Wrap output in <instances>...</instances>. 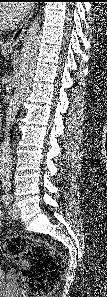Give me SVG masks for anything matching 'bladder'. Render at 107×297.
<instances>
[{
  "mask_svg": "<svg viewBox=\"0 0 107 297\" xmlns=\"http://www.w3.org/2000/svg\"><path fill=\"white\" fill-rule=\"evenodd\" d=\"M0 277H1V280H3V279H4V273H3V271H2V270L0 271Z\"/></svg>",
  "mask_w": 107,
  "mask_h": 297,
  "instance_id": "bladder-1",
  "label": "bladder"
}]
</instances>
